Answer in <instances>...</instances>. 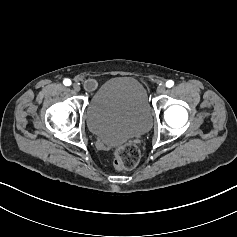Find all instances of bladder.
<instances>
[{
	"label": "bladder",
	"mask_w": 237,
	"mask_h": 237,
	"mask_svg": "<svg viewBox=\"0 0 237 237\" xmlns=\"http://www.w3.org/2000/svg\"><path fill=\"white\" fill-rule=\"evenodd\" d=\"M86 123L93 135L109 144L141 136L152 124L146 89L133 77L110 78L91 95Z\"/></svg>",
	"instance_id": "bladder-1"
}]
</instances>
